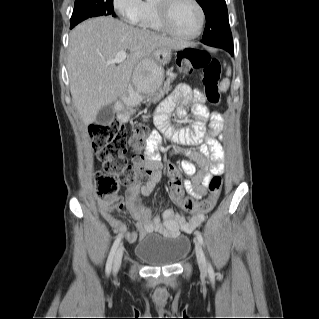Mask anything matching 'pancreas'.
Listing matches in <instances>:
<instances>
[{"instance_id":"obj_1","label":"pancreas","mask_w":319,"mask_h":319,"mask_svg":"<svg viewBox=\"0 0 319 319\" xmlns=\"http://www.w3.org/2000/svg\"><path fill=\"white\" fill-rule=\"evenodd\" d=\"M175 78H176V74H168L167 80L164 82L163 87L159 88L157 91H155L151 95H146V96L141 95L139 98L144 99V103L154 101V100L161 98L165 93H168L171 90L172 87L170 84L173 82V80ZM135 112H136V110L133 109V107H131L130 113L134 114Z\"/></svg>"}]
</instances>
